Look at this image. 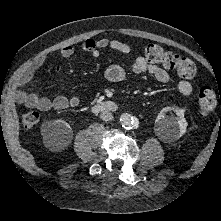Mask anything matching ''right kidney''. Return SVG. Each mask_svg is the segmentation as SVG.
<instances>
[{
	"label": "right kidney",
	"mask_w": 221,
	"mask_h": 221,
	"mask_svg": "<svg viewBox=\"0 0 221 221\" xmlns=\"http://www.w3.org/2000/svg\"><path fill=\"white\" fill-rule=\"evenodd\" d=\"M41 132L45 142L53 148L65 147L72 138L71 126L60 119L45 122Z\"/></svg>",
	"instance_id": "right-kidney-1"
}]
</instances>
